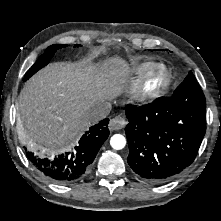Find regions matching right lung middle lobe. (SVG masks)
Listing matches in <instances>:
<instances>
[{
  "mask_svg": "<svg viewBox=\"0 0 221 221\" xmlns=\"http://www.w3.org/2000/svg\"><path fill=\"white\" fill-rule=\"evenodd\" d=\"M66 47V45H60V44H55L49 46L45 52L38 58V60L35 62V64L28 70L24 80H27L30 78L34 73H36L39 69L47 65L54 55V53L60 49Z\"/></svg>",
  "mask_w": 221,
  "mask_h": 221,
  "instance_id": "dd1d6c3e",
  "label": "right lung middle lobe"
}]
</instances>
